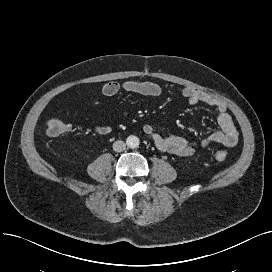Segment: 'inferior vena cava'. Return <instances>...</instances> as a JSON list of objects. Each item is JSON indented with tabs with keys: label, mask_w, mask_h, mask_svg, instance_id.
Instances as JSON below:
<instances>
[{
	"label": "inferior vena cava",
	"mask_w": 272,
	"mask_h": 272,
	"mask_svg": "<svg viewBox=\"0 0 272 272\" xmlns=\"http://www.w3.org/2000/svg\"><path fill=\"white\" fill-rule=\"evenodd\" d=\"M126 149V144L121 141V140H117L113 143V150L116 152H122Z\"/></svg>",
	"instance_id": "602c4592"
}]
</instances>
